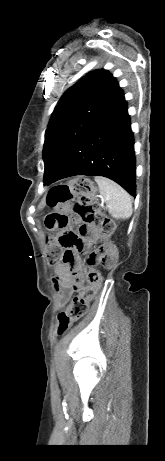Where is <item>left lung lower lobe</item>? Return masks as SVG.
<instances>
[{
  "label": "left lung lower lobe",
  "instance_id": "1",
  "mask_svg": "<svg viewBox=\"0 0 165 461\" xmlns=\"http://www.w3.org/2000/svg\"><path fill=\"white\" fill-rule=\"evenodd\" d=\"M135 164L130 116L120 91L49 184L76 175L104 176L135 195Z\"/></svg>",
  "mask_w": 165,
  "mask_h": 461
}]
</instances>
